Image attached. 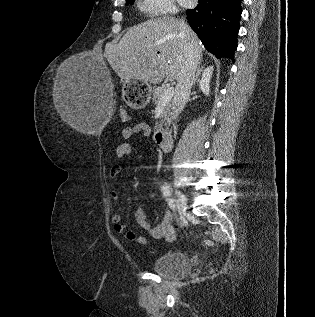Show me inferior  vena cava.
Returning <instances> with one entry per match:
<instances>
[{"label": "inferior vena cava", "instance_id": "obj_1", "mask_svg": "<svg viewBox=\"0 0 315 317\" xmlns=\"http://www.w3.org/2000/svg\"><path fill=\"white\" fill-rule=\"evenodd\" d=\"M184 65L177 85L172 102V119L175 120L183 110L188 99L195 78V72L199 64L200 56L196 54L190 43L184 45Z\"/></svg>", "mask_w": 315, "mask_h": 317}]
</instances>
